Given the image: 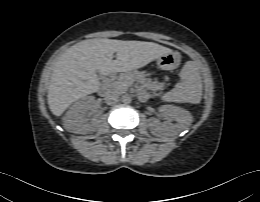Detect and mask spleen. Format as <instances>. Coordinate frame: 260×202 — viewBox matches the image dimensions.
<instances>
[{
    "instance_id": "obj_1",
    "label": "spleen",
    "mask_w": 260,
    "mask_h": 202,
    "mask_svg": "<svg viewBox=\"0 0 260 202\" xmlns=\"http://www.w3.org/2000/svg\"><path fill=\"white\" fill-rule=\"evenodd\" d=\"M181 82L162 99L168 102L199 103L202 96L200 74L194 62H187L180 73Z\"/></svg>"
}]
</instances>
